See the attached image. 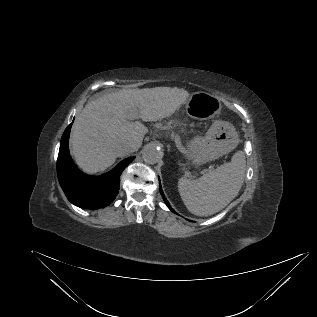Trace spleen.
<instances>
[{
    "mask_svg": "<svg viewBox=\"0 0 317 317\" xmlns=\"http://www.w3.org/2000/svg\"><path fill=\"white\" fill-rule=\"evenodd\" d=\"M245 168L244 152L238 151L230 162L199 179L180 178L178 191L187 209L198 216H209L225 208L239 193Z\"/></svg>",
    "mask_w": 317,
    "mask_h": 317,
    "instance_id": "1",
    "label": "spleen"
}]
</instances>
